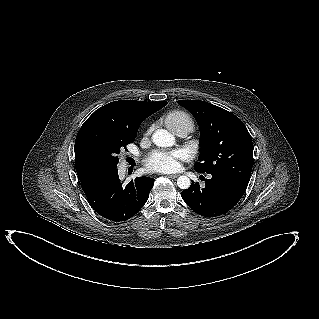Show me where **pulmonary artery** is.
<instances>
[{
    "instance_id": "pulmonary-artery-1",
    "label": "pulmonary artery",
    "mask_w": 319,
    "mask_h": 319,
    "mask_svg": "<svg viewBox=\"0 0 319 319\" xmlns=\"http://www.w3.org/2000/svg\"><path fill=\"white\" fill-rule=\"evenodd\" d=\"M175 134L179 137H185L188 134V132L185 129H178L175 131Z\"/></svg>"
}]
</instances>
